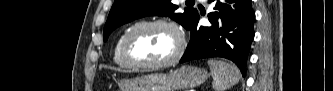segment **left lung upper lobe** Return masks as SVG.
<instances>
[{
  "instance_id": "obj_1",
  "label": "left lung upper lobe",
  "mask_w": 333,
  "mask_h": 91,
  "mask_svg": "<svg viewBox=\"0 0 333 91\" xmlns=\"http://www.w3.org/2000/svg\"><path fill=\"white\" fill-rule=\"evenodd\" d=\"M186 5L188 8H185L183 13H175L178 6L173 4L171 0H115L104 27V41L117 27L150 15L170 16L183 27L189 29L197 10L191 8L193 6L191 0H187Z\"/></svg>"
}]
</instances>
